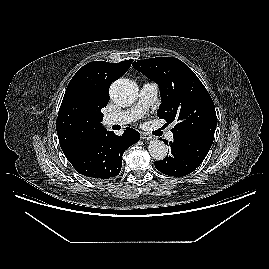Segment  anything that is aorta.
<instances>
[{
	"instance_id": "762f6f07",
	"label": "aorta",
	"mask_w": 269,
	"mask_h": 269,
	"mask_svg": "<svg viewBox=\"0 0 269 269\" xmlns=\"http://www.w3.org/2000/svg\"><path fill=\"white\" fill-rule=\"evenodd\" d=\"M137 94L138 87L136 83L129 79H118L110 87L112 100L120 106L132 104ZM148 151L150 156L157 161L163 160L168 153L166 144L161 140L150 141Z\"/></svg>"
}]
</instances>
